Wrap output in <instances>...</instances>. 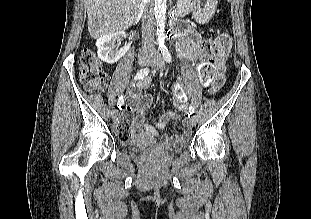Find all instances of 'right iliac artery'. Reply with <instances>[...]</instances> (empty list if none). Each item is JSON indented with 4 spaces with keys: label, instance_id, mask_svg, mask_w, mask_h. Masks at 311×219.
I'll list each match as a JSON object with an SVG mask.
<instances>
[{
    "label": "right iliac artery",
    "instance_id": "1",
    "mask_svg": "<svg viewBox=\"0 0 311 219\" xmlns=\"http://www.w3.org/2000/svg\"><path fill=\"white\" fill-rule=\"evenodd\" d=\"M149 73V68H144V69H141L135 76L134 80H137V79H142L143 77L147 76ZM124 103V97L121 96L118 100V107L120 108Z\"/></svg>",
    "mask_w": 311,
    "mask_h": 219
}]
</instances>
